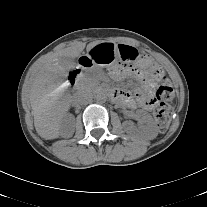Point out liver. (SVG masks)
<instances>
[{
    "label": "liver",
    "instance_id": "6515ba94",
    "mask_svg": "<svg viewBox=\"0 0 207 207\" xmlns=\"http://www.w3.org/2000/svg\"><path fill=\"white\" fill-rule=\"evenodd\" d=\"M102 41L87 45V51ZM84 43L65 48L42 61L31 73L28 81V96L34 113L37 133L46 140L60 135L63 117L70 108L71 97L65 78L66 70L59 64L60 57H79Z\"/></svg>",
    "mask_w": 207,
    "mask_h": 207
}]
</instances>
